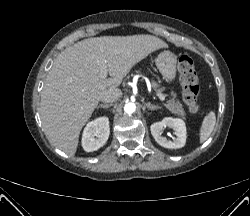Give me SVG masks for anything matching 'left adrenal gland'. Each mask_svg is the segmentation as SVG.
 <instances>
[{
  "label": "left adrenal gland",
  "instance_id": "a2214340",
  "mask_svg": "<svg viewBox=\"0 0 250 216\" xmlns=\"http://www.w3.org/2000/svg\"><path fill=\"white\" fill-rule=\"evenodd\" d=\"M146 107H147L149 110L161 109V107L156 106V105H153V104H150V103H146Z\"/></svg>",
  "mask_w": 250,
  "mask_h": 216
}]
</instances>
